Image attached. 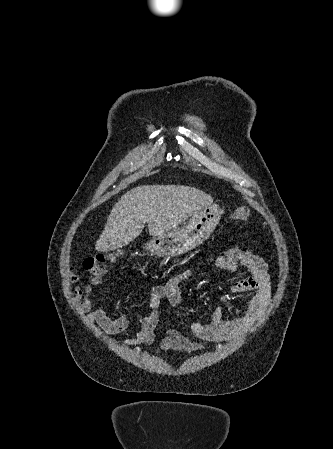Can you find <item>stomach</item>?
I'll use <instances>...</instances> for the list:
<instances>
[{
	"label": "stomach",
	"mask_w": 333,
	"mask_h": 449,
	"mask_svg": "<svg viewBox=\"0 0 333 449\" xmlns=\"http://www.w3.org/2000/svg\"><path fill=\"white\" fill-rule=\"evenodd\" d=\"M222 214L218 204L205 206L182 228L153 237L145 249L155 256H177L189 252L209 238Z\"/></svg>",
	"instance_id": "0dacf381"
}]
</instances>
